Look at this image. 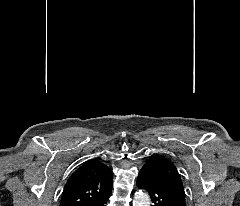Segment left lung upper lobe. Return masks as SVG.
I'll use <instances>...</instances> for the list:
<instances>
[{"instance_id":"1","label":"left lung upper lobe","mask_w":240,"mask_h":206,"mask_svg":"<svg viewBox=\"0 0 240 206\" xmlns=\"http://www.w3.org/2000/svg\"><path fill=\"white\" fill-rule=\"evenodd\" d=\"M145 164L151 166L158 179L175 199L186 206L184 187L175 165L169 159L161 155L151 157Z\"/></svg>"}]
</instances>
